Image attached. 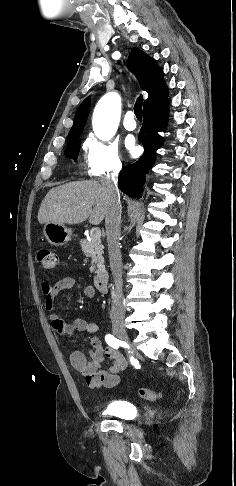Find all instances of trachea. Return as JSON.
<instances>
[{"label":"trachea","instance_id":"trachea-1","mask_svg":"<svg viewBox=\"0 0 236 486\" xmlns=\"http://www.w3.org/2000/svg\"><path fill=\"white\" fill-rule=\"evenodd\" d=\"M142 104H143V96H139L134 105V113L137 119H142Z\"/></svg>","mask_w":236,"mask_h":486}]
</instances>
